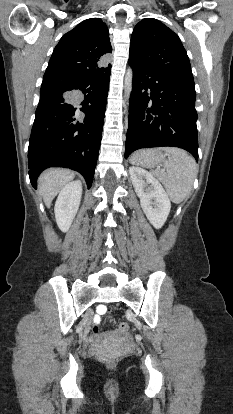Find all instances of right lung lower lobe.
Here are the masks:
<instances>
[{
  "mask_svg": "<svg viewBox=\"0 0 233 414\" xmlns=\"http://www.w3.org/2000/svg\"><path fill=\"white\" fill-rule=\"evenodd\" d=\"M111 70L73 80L44 78L29 140L33 187L48 167L78 171L91 186L102 138Z\"/></svg>",
  "mask_w": 233,
  "mask_h": 414,
  "instance_id": "1",
  "label": "right lung lower lobe"
}]
</instances>
